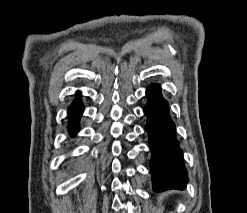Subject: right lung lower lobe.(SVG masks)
Segmentation results:
<instances>
[{"label": "right lung lower lobe", "mask_w": 247, "mask_h": 213, "mask_svg": "<svg viewBox=\"0 0 247 213\" xmlns=\"http://www.w3.org/2000/svg\"><path fill=\"white\" fill-rule=\"evenodd\" d=\"M69 132L75 134L78 130V120L83 113V106L81 104L80 96L78 95L74 103L70 106L69 110Z\"/></svg>", "instance_id": "98d812e1"}]
</instances>
